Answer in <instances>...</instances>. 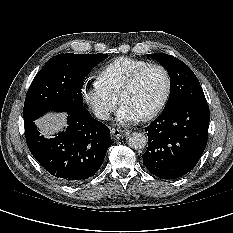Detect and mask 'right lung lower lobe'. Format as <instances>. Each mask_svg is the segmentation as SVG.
I'll return each mask as SVG.
<instances>
[{"instance_id": "98d812e1", "label": "right lung lower lobe", "mask_w": 233, "mask_h": 233, "mask_svg": "<svg viewBox=\"0 0 233 233\" xmlns=\"http://www.w3.org/2000/svg\"><path fill=\"white\" fill-rule=\"evenodd\" d=\"M67 113L66 131L54 138L40 136L34 121L25 124V137L31 154L54 178L78 183L100 169L112 141L109 128L86 108Z\"/></svg>"}]
</instances>
